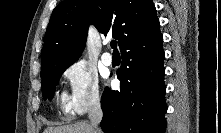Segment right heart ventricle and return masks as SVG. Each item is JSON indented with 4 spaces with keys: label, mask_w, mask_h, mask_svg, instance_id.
<instances>
[{
    "label": "right heart ventricle",
    "mask_w": 221,
    "mask_h": 133,
    "mask_svg": "<svg viewBox=\"0 0 221 133\" xmlns=\"http://www.w3.org/2000/svg\"><path fill=\"white\" fill-rule=\"evenodd\" d=\"M61 107L64 112H66V113L71 112V109L68 104V100L64 96L61 97Z\"/></svg>",
    "instance_id": "obj_1"
}]
</instances>
